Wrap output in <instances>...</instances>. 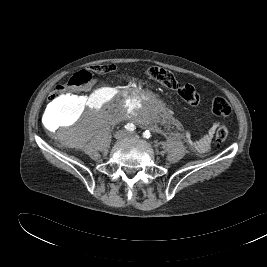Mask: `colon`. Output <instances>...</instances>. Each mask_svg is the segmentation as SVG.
<instances>
[{
	"mask_svg": "<svg viewBox=\"0 0 267 267\" xmlns=\"http://www.w3.org/2000/svg\"><path fill=\"white\" fill-rule=\"evenodd\" d=\"M115 69L113 64H103L93 67L96 73H108ZM147 78L168 88L177 91L180 98L191 106H196L200 102V95L191 84H181L174 74L162 67L151 66L144 70ZM92 74L87 70L75 73L67 84L57 86L50 95V101L57 103L63 98L72 99L68 94L69 89L83 88L92 82ZM211 109L214 114L220 117H228L231 114V105L223 97H216L211 102ZM228 137V129L225 125H220L216 131V140L223 143Z\"/></svg>",
	"mask_w": 267,
	"mask_h": 267,
	"instance_id": "colon-1",
	"label": "colon"
}]
</instances>
